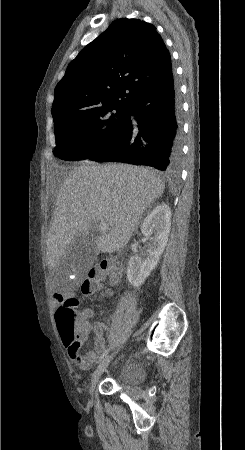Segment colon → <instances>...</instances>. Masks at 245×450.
Returning a JSON list of instances; mask_svg holds the SVG:
<instances>
[{
	"mask_svg": "<svg viewBox=\"0 0 245 450\" xmlns=\"http://www.w3.org/2000/svg\"><path fill=\"white\" fill-rule=\"evenodd\" d=\"M124 268L125 262L118 257L98 264L84 278L81 285L82 291L87 293L108 279L120 278ZM55 297L61 302L55 314L57 331L64 342L78 345V337L88 336L87 324L77 317L74 310L75 302L72 298H66L61 294H56ZM78 361H82L79 356Z\"/></svg>",
	"mask_w": 245,
	"mask_h": 450,
	"instance_id": "colon-1",
	"label": "colon"
}]
</instances>
